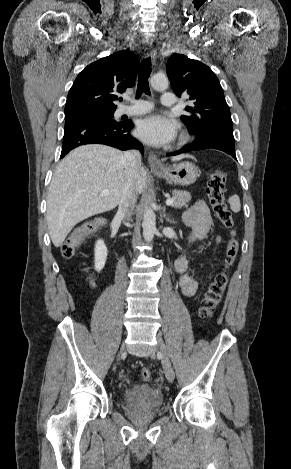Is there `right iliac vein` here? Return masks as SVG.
Listing matches in <instances>:
<instances>
[{
    "instance_id": "obj_1",
    "label": "right iliac vein",
    "mask_w": 291,
    "mask_h": 469,
    "mask_svg": "<svg viewBox=\"0 0 291 469\" xmlns=\"http://www.w3.org/2000/svg\"><path fill=\"white\" fill-rule=\"evenodd\" d=\"M123 351H124V347H122L121 350H120V353H119V355H118V361L120 360V357H121Z\"/></svg>"
}]
</instances>
